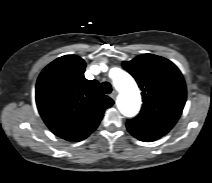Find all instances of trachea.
Masks as SVG:
<instances>
[{"instance_id":"3493384b","label":"trachea","mask_w":212,"mask_h":183,"mask_svg":"<svg viewBox=\"0 0 212 183\" xmlns=\"http://www.w3.org/2000/svg\"><path fill=\"white\" fill-rule=\"evenodd\" d=\"M101 89L105 94H110L112 92V86L109 82H103L101 84Z\"/></svg>"}]
</instances>
